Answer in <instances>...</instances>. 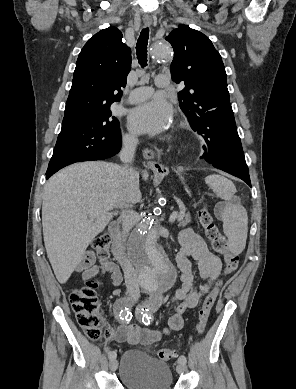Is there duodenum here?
<instances>
[{"label": "duodenum", "mask_w": 296, "mask_h": 389, "mask_svg": "<svg viewBox=\"0 0 296 389\" xmlns=\"http://www.w3.org/2000/svg\"><path fill=\"white\" fill-rule=\"evenodd\" d=\"M108 231L112 238L113 255L122 267H126L128 263V257L125 251L119 223L116 221L111 222L108 226Z\"/></svg>", "instance_id": "duodenum-1"}]
</instances>
